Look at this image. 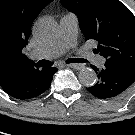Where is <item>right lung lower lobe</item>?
Wrapping results in <instances>:
<instances>
[{"label":"right lung lower lobe","instance_id":"right-lung-lower-lobe-1","mask_svg":"<svg viewBox=\"0 0 135 135\" xmlns=\"http://www.w3.org/2000/svg\"><path fill=\"white\" fill-rule=\"evenodd\" d=\"M57 69L23 68L0 79L1 88L11 97L19 100H29L43 94L51 85Z\"/></svg>","mask_w":135,"mask_h":135}]
</instances>
